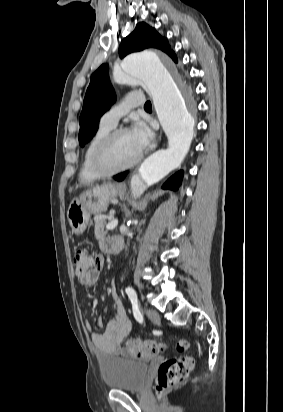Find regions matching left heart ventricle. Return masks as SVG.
Returning <instances> with one entry per match:
<instances>
[{
	"mask_svg": "<svg viewBox=\"0 0 283 412\" xmlns=\"http://www.w3.org/2000/svg\"><path fill=\"white\" fill-rule=\"evenodd\" d=\"M139 153L130 133L125 132L114 140L107 156V163L113 167L122 166L134 160Z\"/></svg>",
	"mask_w": 283,
	"mask_h": 412,
	"instance_id": "1",
	"label": "left heart ventricle"
}]
</instances>
